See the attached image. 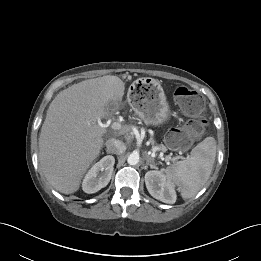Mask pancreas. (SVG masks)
<instances>
[{
	"label": "pancreas",
	"instance_id": "cf45deb5",
	"mask_svg": "<svg viewBox=\"0 0 261 261\" xmlns=\"http://www.w3.org/2000/svg\"><path fill=\"white\" fill-rule=\"evenodd\" d=\"M158 147V149L159 150H161V151H163V152H165L166 151V147L164 146V145H159V146H157ZM155 149V148H154ZM165 160L167 161V160H169L167 157H165Z\"/></svg>",
	"mask_w": 261,
	"mask_h": 261
}]
</instances>
